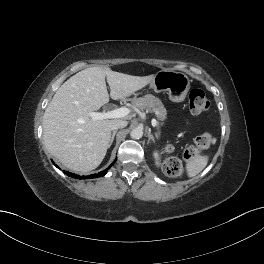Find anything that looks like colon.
Here are the masks:
<instances>
[{"label":"colon","instance_id":"5ec220e1","mask_svg":"<svg viewBox=\"0 0 264 264\" xmlns=\"http://www.w3.org/2000/svg\"><path fill=\"white\" fill-rule=\"evenodd\" d=\"M210 107V102L205 93L200 89H193L189 93V108L193 114H201L206 112ZM211 134L203 133L195 139L193 146L187 148L184 152L185 162L193 160L202 150L207 149L211 144ZM173 150L171 145L166 147V153L170 154ZM167 173L177 176L183 171V164L176 158L169 157L165 161Z\"/></svg>","mask_w":264,"mask_h":264}]
</instances>
